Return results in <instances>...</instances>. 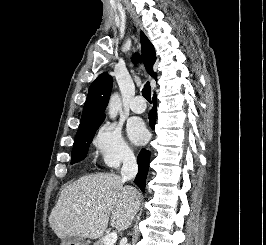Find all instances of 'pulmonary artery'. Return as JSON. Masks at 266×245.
I'll list each match as a JSON object with an SVG mask.
<instances>
[{"instance_id": "1", "label": "pulmonary artery", "mask_w": 266, "mask_h": 245, "mask_svg": "<svg viewBox=\"0 0 266 245\" xmlns=\"http://www.w3.org/2000/svg\"><path fill=\"white\" fill-rule=\"evenodd\" d=\"M129 107L134 113H143L146 109V104L142 100V96H136Z\"/></svg>"}]
</instances>
